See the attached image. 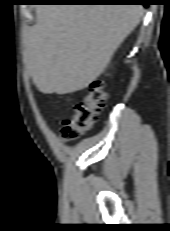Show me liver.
Returning <instances> with one entry per match:
<instances>
[{"instance_id":"liver-1","label":"liver","mask_w":170,"mask_h":231,"mask_svg":"<svg viewBox=\"0 0 170 231\" xmlns=\"http://www.w3.org/2000/svg\"><path fill=\"white\" fill-rule=\"evenodd\" d=\"M142 5H39L26 35L25 63L44 94L82 90L108 66L139 24Z\"/></svg>"}]
</instances>
